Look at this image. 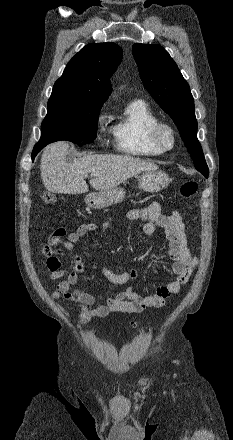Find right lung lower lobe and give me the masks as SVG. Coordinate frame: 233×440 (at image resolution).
Instances as JSON below:
<instances>
[{"label": "right lung lower lobe", "mask_w": 233, "mask_h": 440, "mask_svg": "<svg viewBox=\"0 0 233 440\" xmlns=\"http://www.w3.org/2000/svg\"><path fill=\"white\" fill-rule=\"evenodd\" d=\"M47 144L46 143H37L32 151V160H34L35 156L38 154V152L45 147Z\"/></svg>", "instance_id": "1"}]
</instances>
